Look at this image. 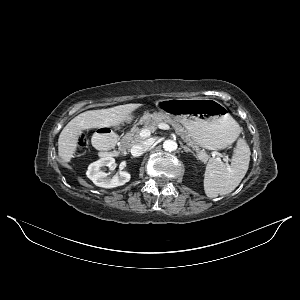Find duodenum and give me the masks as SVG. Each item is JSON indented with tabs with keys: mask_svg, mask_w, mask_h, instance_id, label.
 Returning <instances> with one entry per match:
<instances>
[{
	"mask_svg": "<svg viewBox=\"0 0 300 300\" xmlns=\"http://www.w3.org/2000/svg\"><path fill=\"white\" fill-rule=\"evenodd\" d=\"M95 145L99 148L102 157L117 156L118 151H113L109 148L111 142L113 141V135L110 132L103 134H96L93 138Z\"/></svg>",
	"mask_w": 300,
	"mask_h": 300,
	"instance_id": "1",
	"label": "duodenum"
}]
</instances>
